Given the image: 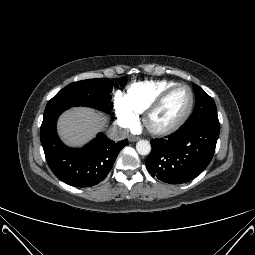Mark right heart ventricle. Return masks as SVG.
Here are the masks:
<instances>
[{"label": "right heart ventricle", "mask_w": 255, "mask_h": 255, "mask_svg": "<svg viewBox=\"0 0 255 255\" xmlns=\"http://www.w3.org/2000/svg\"><path fill=\"white\" fill-rule=\"evenodd\" d=\"M175 84L167 80L134 83L128 87L122 98L138 115L143 113L161 92Z\"/></svg>", "instance_id": "1"}]
</instances>
